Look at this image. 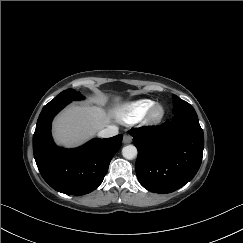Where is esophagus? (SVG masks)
<instances>
[{
  "mask_svg": "<svg viewBox=\"0 0 243 243\" xmlns=\"http://www.w3.org/2000/svg\"><path fill=\"white\" fill-rule=\"evenodd\" d=\"M122 141H123L124 144H129V143H131V141H132V137H131L130 135H126V134H125V135L123 136V140H122Z\"/></svg>",
  "mask_w": 243,
  "mask_h": 243,
  "instance_id": "1",
  "label": "esophagus"
}]
</instances>
